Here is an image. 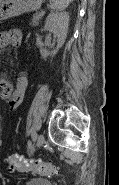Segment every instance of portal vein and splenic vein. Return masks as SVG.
I'll use <instances>...</instances> for the list:
<instances>
[{
	"label": "portal vein and splenic vein",
	"mask_w": 119,
	"mask_h": 185,
	"mask_svg": "<svg viewBox=\"0 0 119 185\" xmlns=\"http://www.w3.org/2000/svg\"><path fill=\"white\" fill-rule=\"evenodd\" d=\"M40 13H41L42 15H44L45 11L42 10Z\"/></svg>",
	"instance_id": "portal-vein-and-splenic-vein-1"
}]
</instances>
